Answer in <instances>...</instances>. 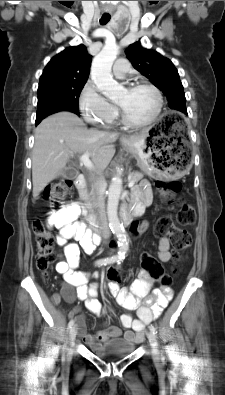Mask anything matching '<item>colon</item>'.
Segmentation results:
<instances>
[{
    "label": "colon",
    "instance_id": "1",
    "mask_svg": "<svg viewBox=\"0 0 225 395\" xmlns=\"http://www.w3.org/2000/svg\"><path fill=\"white\" fill-rule=\"evenodd\" d=\"M182 184L179 181H157L156 189L161 199L165 203H172L177 199L180 193ZM72 189V180L65 178L50 183L45 191L44 198L49 202L50 206L55 210H61L66 196ZM196 212L191 203L183 200H178V209L174 215H162L156 222L154 232L159 237H169L173 249L175 265L181 258L182 253L188 249L191 244V236L184 226H189L195 223ZM32 228L36 240V267L42 273L44 278H47L48 272L54 262V235L53 232L40 221L35 220L32 223ZM130 235H137L139 225L138 223H129L128 225ZM111 245H120V238H111ZM141 264L143 272L152 275L153 281H162L163 288H172L173 283L171 276L166 274V269L161 268L160 264L154 259L151 250H140ZM176 272V269L173 271ZM107 284L115 283L116 288L119 286V273L107 272Z\"/></svg>",
    "mask_w": 225,
    "mask_h": 395
}]
</instances>
